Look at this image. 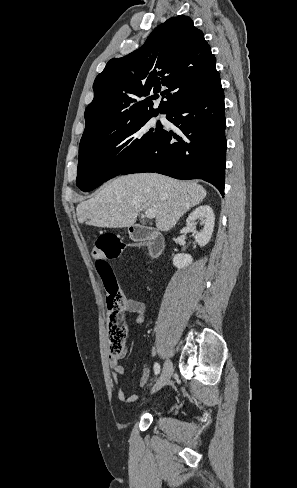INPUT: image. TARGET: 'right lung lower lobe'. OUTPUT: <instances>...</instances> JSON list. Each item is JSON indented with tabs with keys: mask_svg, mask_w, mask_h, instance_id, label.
<instances>
[{
	"mask_svg": "<svg viewBox=\"0 0 297 488\" xmlns=\"http://www.w3.org/2000/svg\"><path fill=\"white\" fill-rule=\"evenodd\" d=\"M166 118L177 131L162 130L121 174L157 172L177 179H202L224 196L227 142L220 77L181 101Z\"/></svg>",
	"mask_w": 297,
	"mask_h": 488,
	"instance_id": "obj_1",
	"label": "right lung lower lobe"
}]
</instances>
